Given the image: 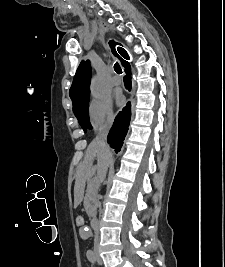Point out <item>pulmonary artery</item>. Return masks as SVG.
Returning <instances> with one entry per match:
<instances>
[{
  "instance_id": "obj_1",
  "label": "pulmonary artery",
  "mask_w": 225,
  "mask_h": 267,
  "mask_svg": "<svg viewBox=\"0 0 225 267\" xmlns=\"http://www.w3.org/2000/svg\"><path fill=\"white\" fill-rule=\"evenodd\" d=\"M111 81L114 85H120L122 83L121 77L115 74L112 76Z\"/></svg>"
}]
</instances>
